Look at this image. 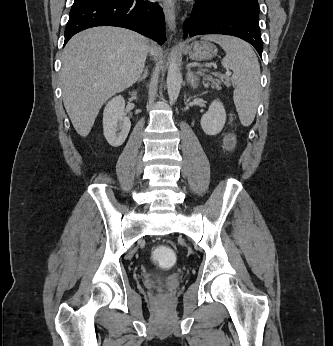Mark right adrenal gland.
Wrapping results in <instances>:
<instances>
[{"mask_svg": "<svg viewBox=\"0 0 333 346\" xmlns=\"http://www.w3.org/2000/svg\"><path fill=\"white\" fill-rule=\"evenodd\" d=\"M146 77H148V68H145L143 71V75L141 77H139L138 82L146 79Z\"/></svg>", "mask_w": 333, "mask_h": 346, "instance_id": "1", "label": "right adrenal gland"}]
</instances>
